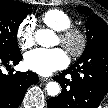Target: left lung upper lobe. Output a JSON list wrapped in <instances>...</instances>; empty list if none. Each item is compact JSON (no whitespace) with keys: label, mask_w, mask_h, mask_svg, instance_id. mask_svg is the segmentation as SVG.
Listing matches in <instances>:
<instances>
[{"label":"left lung upper lobe","mask_w":108,"mask_h":108,"mask_svg":"<svg viewBox=\"0 0 108 108\" xmlns=\"http://www.w3.org/2000/svg\"><path fill=\"white\" fill-rule=\"evenodd\" d=\"M77 10L90 17L86 22L87 47L73 65L108 64V25L96 14H92V10L88 7L80 6ZM76 95V90H69L66 100L74 101Z\"/></svg>","instance_id":"1"}]
</instances>
